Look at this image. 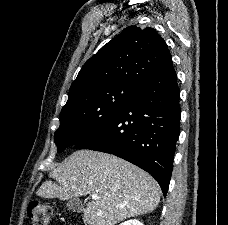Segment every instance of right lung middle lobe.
<instances>
[{
    "mask_svg": "<svg viewBox=\"0 0 228 225\" xmlns=\"http://www.w3.org/2000/svg\"><path fill=\"white\" fill-rule=\"evenodd\" d=\"M137 88L114 83L85 92L67 103L60 113V127L54 141L58 152L75 145L98 128L125 103Z\"/></svg>",
    "mask_w": 228,
    "mask_h": 225,
    "instance_id": "right-lung-middle-lobe-1",
    "label": "right lung middle lobe"
}]
</instances>
